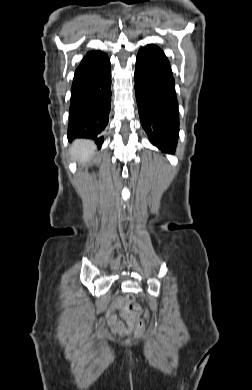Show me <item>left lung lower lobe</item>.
<instances>
[{
	"label": "left lung lower lobe",
	"mask_w": 252,
	"mask_h": 390,
	"mask_svg": "<svg viewBox=\"0 0 252 390\" xmlns=\"http://www.w3.org/2000/svg\"><path fill=\"white\" fill-rule=\"evenodd\" d=\"M135 92L143 129L151 143L173 150L179 133V109L170 62L154 44L142 47L136 58Z\"/></svg>",
	"instance_id": "obj_1"
}]
</instances>
